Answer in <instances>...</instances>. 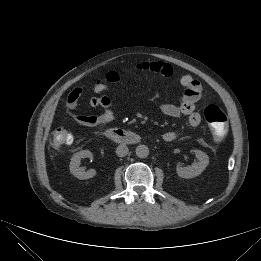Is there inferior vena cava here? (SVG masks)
<instances>
[{
	"label": "inferior vena cava",
	"mask_w": 261,
	"mask_h": 261,
	"mask_svg": "<svg viewBox=\"0 0 261 261\" xmlns=\"http://www.w3.org/2000/svg\"><path fill=\"white\" fill-rule=\"evenodd\" d=\"M129 149L126 145H119L116 149V154L119 157H124L128 154Z\"/></svg>",
	"instance_id": "inferior-vena-cava-1"
}]
</instances>
